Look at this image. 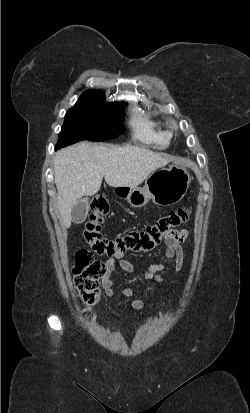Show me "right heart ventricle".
Masks as SVG:
<instances>
[{"label": "right heart ventricle", "instance_id": "e07e8e85", "mask_svg": "<svg viewBox=\"0 0 250 413\" xmlns=\"http://www.w3.org/2000/svg\"><path fill=\"white\" fill-rule=\"evenodd\" d=\"M133 136L146 144L165 147L170 135L164 128V120L151 110L137 112L130 121Z\"/></svg>", "mask_w": 250, "mask_h": 413}]
</instances>
